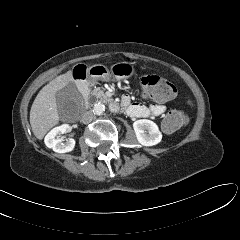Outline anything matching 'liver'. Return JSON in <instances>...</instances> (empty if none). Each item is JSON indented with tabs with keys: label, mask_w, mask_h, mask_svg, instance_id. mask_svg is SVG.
I'll list each match as a JSON object with an SVG mask.
<instances>
[{
	"label": "liver",
	"mask_w": 240,
	"mask_h": 240,
	"mask_svg": "<svg viewBox=\"0 0 240 240\" xmlns=\"http://www.w3.org/2000/svg\"><path fill=\"white\" fill-rule=\"evenodd\" d=\"M70 82H73L71 70L57 76L37 94L30 110V124L37 139H43L45 134L58 124L56 93L65 88Z\"/></svg>",
	"instance_id": "6515ba94"
}]
</instances>
